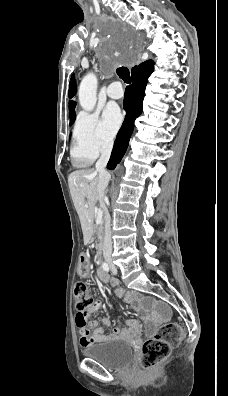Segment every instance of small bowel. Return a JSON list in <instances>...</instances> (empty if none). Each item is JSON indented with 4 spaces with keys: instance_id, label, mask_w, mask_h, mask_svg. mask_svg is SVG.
Returning a JSON list of instances; mask_svg holds the SVG:
<instances>
[{
    "instance_id": "small-bowel-1",
    "label": "small bowel",
    "mask_w": 228,
    "mask_h": 396,
    "mask_svg": "<svg viewBox=\"0 0 228 396\" xmlns=\"http://www.w3.org/2000/svg\"><path fill=\"white\" fill-rule=\"evenodd\" d=\"M80 273L88 275L90 272L89 260L85 255L80 257ZM115 288L114 298H123L124 302L130 304L132 308L139 314L140 318L145 323V332L147 334L154 331V329L168 317V308L151 298H147L135 293L126 292L119 286V281L111 279L108 276L107 281ZM100 301H97L88 309V315L93 314L100 306ZM127 327L115 328L111 334H106V329L110 322L103 317L99 320H93L88 327L79 328L80 344L88 346L93 343L103 342L111 339L127 338L138 335L141 332L140 323L135 319H128L126 321Z\"/></svg>"
}]
</instances>
